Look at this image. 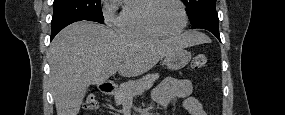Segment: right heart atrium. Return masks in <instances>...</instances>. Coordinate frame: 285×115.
<instances>
[{
    "mask_svg": "<svg viewBox=\"0 0 285 115\" xmlns=\"http://www.w3.org/2000/svg\"><path fill=\"white\" fill-rule=\"evenodd\" d=\"M103 13H104L105 20L111 26H116V19L118 15L116 13L115 1H112V0L105 1Z\"/></svg>",
    "mask_w": 285,
    "mask_h": 115,
    "instance_id": "1",
    "label": "right heart atrium"
}]
</instances>
